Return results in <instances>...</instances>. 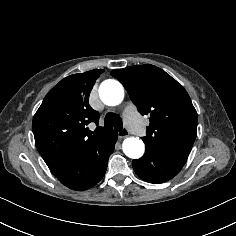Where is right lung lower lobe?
<instances>
[{"mask_svg":"<svg viewBox=\"0 0 236 236\" xmlns=\"http://www.w3.org/2000/svg\"><path fill=\"white\" fill-rule=\"evenodd\" d=\"M118 134H111L104 142L80 158L50 167L54 176L65 186L81 191L96 185L104 176L108 158L114 151Z\"/></svg>","mask_w":236,"mask_h":236,"instance_id":"98d812e1","label":"right lung lower lobe"}]
</instances>
